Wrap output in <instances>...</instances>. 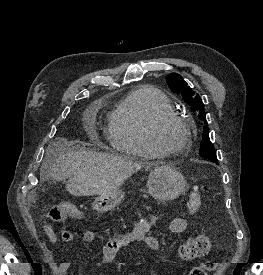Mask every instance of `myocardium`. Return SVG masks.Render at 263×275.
<instances>
[{
	"mask_svg": "<svg viewBox=\"0 0 263 275\" xmlns=\"http://www.w3.org/2000/svg\"><path fill=\"white\" fill-rule=\"evenodd\" d=\"M168 122H177L185 129L184 141L176 147H166L159 141L157 136L159 129ZM147 138L151 147L158 155L169 156L178 154L189 147L193 138V128L189 118L181 116L176 112L166 111L158 114L150 123Z\"/></svg>",
	"mask_w": 263,
	"mask_h": 275,
	"instance_id": "1",
	"label": "myocardium"
}]
</instances>
